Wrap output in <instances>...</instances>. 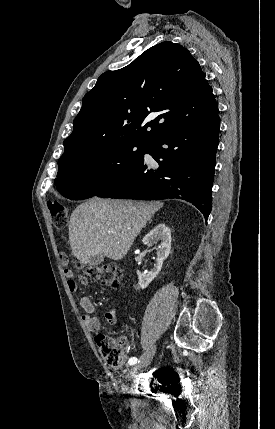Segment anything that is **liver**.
Here are the masks:
<instances>
[{"label":"liver","mask_w":275,"mask_h":429,"mask_svg":"<svg viewBox=\"0 0 275 429\" xmlns=\"http://www.w3.org/2000/svg\"><path fill=\"white\" fill-rule=\"evenodd\" d=\"M161 206L160 202L87 200L70 217L69 240L74 255L83 264L95 255L121 260Z\"/></svg>","instance_id":"obj_1"}]
</instances>
